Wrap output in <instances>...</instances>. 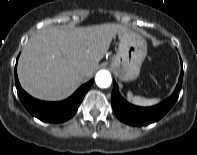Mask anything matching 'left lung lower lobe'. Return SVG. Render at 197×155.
<instances>
[{"instance_id":"0a47b994","label":"left lung lower lobe","mask_w":197,"mask_h":155,"mask_svg":"<svg viewBox=\"0 0 197 155\" xmlns=\"http://www.w3.org/2000/svg\"><path fill=\"white\" fill-rule=\"evenodd\" d=\"M182 65V62H181ZM183 80V67L178 84L173 94L163 102L152 107H138L128 103L119 93L118 86L114 82L111 103L116 116L125 124L143 126L161 119L174 105L179 97Z\"/></svg>"}]
</instances>
